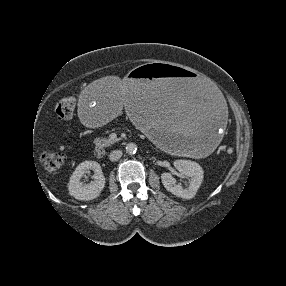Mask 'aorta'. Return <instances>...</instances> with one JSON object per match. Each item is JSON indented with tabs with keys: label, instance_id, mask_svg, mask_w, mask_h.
<instances>
[{
	"label": "aorta",
	"instance_id": "aorta-1",
	"mask_svg": "<svg viewBox=\"0 0 286 286\" xmlns=\"http://www.w3.org/2000/svg\"><path fill=\"white\" fill-rule=\"evenodd\" d=\"M125 150L128 154H134L137 151V146L135 143H128L125 147Z\"/></svg>",
	"mask_w": 286,
	"mask_h": 286
}]
</instances>
